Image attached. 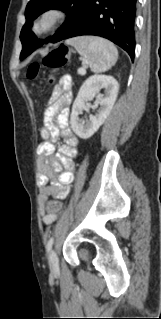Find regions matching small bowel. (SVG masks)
Returning a JSON list of instances; mask_svg holds the SVG:
<instances>
[{
    "mask_svg": "<svg viewBox=\"0 0 161 319\" xmlns=\"http://www.w3.org/2000/svg\"><path fill=\"white\" fill-rule=\"evenodd\" d=\"M71 100L70 81L67 76H63L48 100V107L43 116L44 127L40 131L43 141L38 147L41 155L39 187L43 198L51 195L59 200L65 199L73 182L72 173L76 167L71 159L77 156L78 138L69 128L68 106ZM55 118L56 121H54ZM60 136L65 143L59 147L58 154L55 155L54 142ZM56 173L59 175L57 176ZM41 208L44 210V204ZM56 218V214L51 212L43 214L45 225L52 224Z\"/></svg>",
    "mask_w": 161,
    "mask_h": 319,
    "instance_id": "small-bowel-1",
    "label": "small bowel"
}]
</instances>
